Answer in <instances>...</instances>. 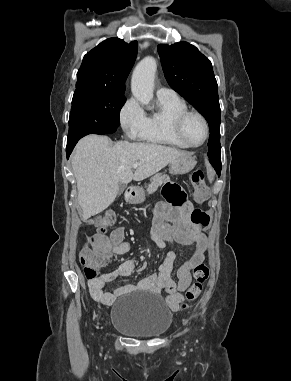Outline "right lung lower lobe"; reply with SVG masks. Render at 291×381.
<instances>
[{
  "instance_id": "1",
  "label": "right lung lower lobe",
  "mask_w": 291,
  "mask_h": 381,
  "mask_svg": "<svg viewBox=\"0 0 291 381\" xmlns=\"http://www.w3.org/2000/svg\"><path fill=\"white\" fill-rule=\"evenodd\" d=\"M115 131H111V132H106L104 134H109V133H114ZM78 141H73V142H67V146H66V153H67V159L69 158L74 146L76 145Z\"/></svg>"
}]
</instances>
